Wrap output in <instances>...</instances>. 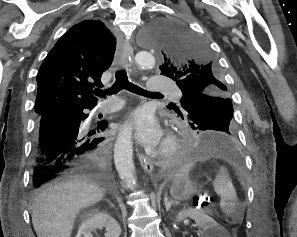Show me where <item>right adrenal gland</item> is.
Masks as SVG:
<instances>
[{
	"instance_id": "1",
	"label": "right adrenal gland",
	"mask_w": 297,
	"mask_h": 237,
	"mask_svg": "<svg viewBox=\"0 0 297 237\" xmlns=\"http://www.w3.org/2000/svg\"><path fill=\"white\" fill-rule=\"evenodd\" d=\"M109 205H110L112 208H114V204H112L111 202H109Z\"/></svg>"
}]
</instances>
